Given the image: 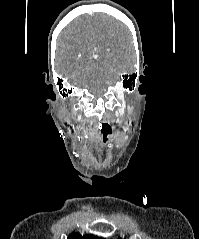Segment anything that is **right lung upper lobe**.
Returning <instances> with one entry per match:
<instances>
[{"mask_svg":"<svg viewBox=\"0 0 199 239\" xmlns=\"http://www.w3.org/2000/svg\"><path fill=\"white\" fill-rule=\"evenodd\" d=\"M67 239H102L100 237L97 236H93V235H80L79 233H72L68 236Z\"/></svg>","mask_w":199,"mask_h":239,"instance_id":"right-lung-upper-lobe-1","label":"right lung upper lobe"}]
</instances>
